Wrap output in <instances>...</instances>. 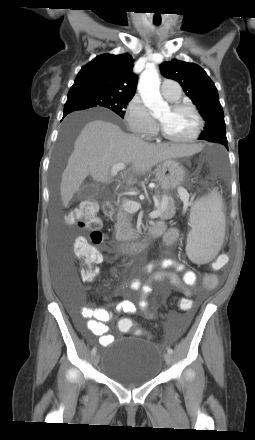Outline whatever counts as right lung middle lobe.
Listing matches in <instances>:
<instances>
[{
    "mask_svg": "<svg viewBox=\"0 0 255 440\" xmlns=\"http://www.w3.org/2000/svg\"><path fill=\"white\" fill-rule=\"evenodd\" d=\"M132 97L117 96L105 92H77L68 94V99L64 106V113L75 110H83L91 107H105L123 118L127 104Z\"/></svg>",
    "mask_w": 255,
    "mask_h": 440,
    "instance_id": "dd1d6c3e",
    "label": "right lung middle lobe"
}]
</instances>
